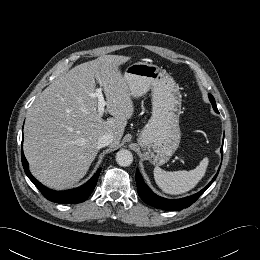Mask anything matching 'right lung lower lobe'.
I'll list each match as a JSON object with an SVG mask.
<instances>
[{
	"instance_id": "right-lung-lower-lobe-1",
	"label": "right lung lower lobe",
	"mask_w": 260,
	"mask_h": 260,
	"mask_svg": "<svg viewBox=\"0 0 260 260\" xmlns=\"http://www.w3.org/2000/svg\"><path fill=\"white\" fill-rule=\"evenodd\" d=\"M21 157L23 168L28 178L34 183V185L40 190V192L46 199L55 203L73 204L84 202L91 194V192L94 190L101 171L98 170L97 173L91 178V180L81 187L67 191H53L43 186L31 175L28 168V162L24 157L23 151Z\"/></svg>"
}]
</instances>
